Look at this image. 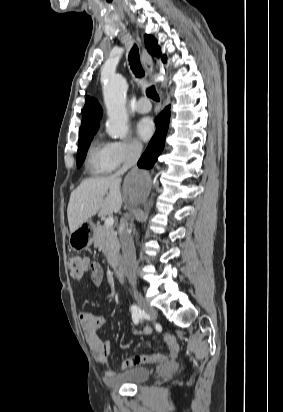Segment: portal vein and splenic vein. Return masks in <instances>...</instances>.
I'll list each match as a JSON object with an SVG mask.
<instances>
[{
  "mask_svg": "<svg viewBox=\"0 0 283 412\" xmlns=\"http://www.w3.org/2000/svg\"><path fill=\"white\" fill-rule=\"evenodd\" d=\"M113 224H114V219H113V217H108V218L105 219L104 225H105L106 227H112Z\"/></svg>",
  "mask_w": 283,
  "mask_h": 412,
  "instance_id": "obj_1",
  "label": "portal vein and splenic vein"
}]
</instances>
